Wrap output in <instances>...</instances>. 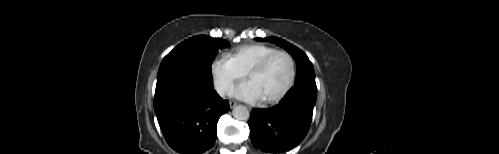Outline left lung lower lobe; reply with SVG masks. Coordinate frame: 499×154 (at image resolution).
Here are the masks:
<instances>
[{
  "label": "left lung lower lobe",
  "instance_id": "1",
  "mask_svg": "<svg viewBox=\"0 0 499 154\" xmlns=\"http://www.w3.org/2000/svg\"><path fill=\"white\" fill-rule=\"evenodd\" d=\"M316 95L315 82L297 83L278 105L253 109L249 119L253 146L271 153L297 146L309 130Z\"/></svg>",
  "mask_w": 499,
  "mask_h": 154
}]
</instances>
